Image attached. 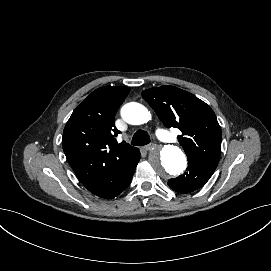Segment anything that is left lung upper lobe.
Listing matches in <instances>:
<instances>
[{"mask_svg": "<svg viewBox=\"0 0 271 271\" xmlns=\"http://www.w3.org/2000/svg\"><path fill=\"white\" fill-rule=\"evenodd\" d=\"M164 125L180 129L178 141L188 161L210 160L218 164L221 127L215 113L195 95L174 86L154 87L142 92Z\"/></svg>", "mask_w": 271, "mask_h": 271, "instance_id": "left-lung-upper-lobe-1", "label": "left lung upper lobe"}]
</instances>
